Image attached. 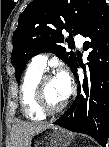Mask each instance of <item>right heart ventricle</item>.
<instances>
[{"mask_svg":"<svg viewBox=\"0 0 109 147\" xmlns=\"http://www.w3.org/2000/svg\"><path fill=\"white\" fill-rule=\"evenodd\" d=\"M42 75L43 71L28 67L20 87L21 109L24 116L31 121H41L46 116V114L42 113L34 103L36 85Z\"/></svg>","mask_w":109,"mask_h":147,"instance_id":"e07e8e85","label":"right heart ventricle"}]
</instances>
